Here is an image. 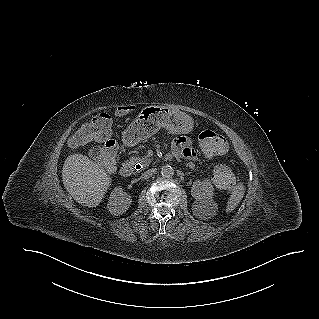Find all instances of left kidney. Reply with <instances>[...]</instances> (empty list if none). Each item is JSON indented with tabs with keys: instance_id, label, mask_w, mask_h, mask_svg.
<instances>
[{
	"instance_id": "left-kidney-1",
	"label": "left kidney",
	"mask_w": 319,
	"mask_h": 319,
	"mask_svg": "<svg viewBox=\"0 0 319 319\" xmlns=\"http://www.w3.org/2000/svg\"><path fill=\"white\" fill-rule=\"evenodd\" d=\"M214 188L208 179L197 180L191 188V195L196 199L195 205L199 208L200 217H213L218 209L213 201Z\"/></svg>"
}]
</instances>
